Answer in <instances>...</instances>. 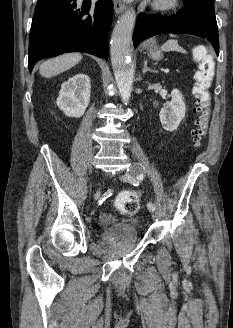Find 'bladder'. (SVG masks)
I'll use <instances>...</instances> for the list:
<instances>
[{"label":"bladder","instance_id":"1","mask_svg":"<svg viewBox=\"0 0 233 328\" xmlns=\"http://www.w3.org/2000/svg\"><path fill=\"white\" fill-rule=\"evenodd\" d=\"M123 234L126 237H130L131 238V242L133 244H136V242H137V236H136V234L132 230H129V229L124 230L123 231Z\"/></svg>","mask_w":233,"mask_h":328}]
</instances>
